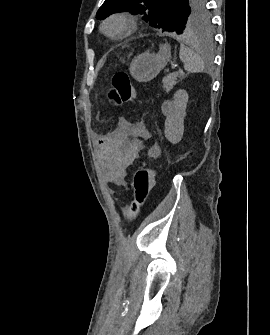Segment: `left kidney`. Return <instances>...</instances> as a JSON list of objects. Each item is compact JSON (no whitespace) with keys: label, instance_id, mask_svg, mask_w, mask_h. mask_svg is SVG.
Wrapping results in <instances>:
<instances>
[{"label":"left kidney","instance_id":"obj_1","mask_svg":"<svg viewBox=\"0 0 270 335\" xmlns=\"http://www.w3.org/2000/svg\"><path fill=\"white\" fill-rule=\"evenodd\" d=\"M188 98L186 90H177L174 94L173 110L165 120L164 130L165 138L171 144H178L183 138Z\"/></svg>","mask_w":270,"mask_h":335}]
</instances>
